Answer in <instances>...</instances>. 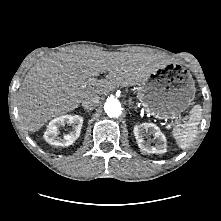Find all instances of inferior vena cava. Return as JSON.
Segmentation results:
<instances>
[{
    "label": "inferior vena cava",
    "instance_id": "1",
    "mask_svg": "<svg viewBox=\"0 0 221 221\" xmlns=\"http://www.w3.org/2000/svg\"><path fill=\"white\" fill-rule=\"evenodd\" d=\"M98 95H90L82 101V106L87 110L94 109L99 103Z\"/></svg>",
    "mask_w": 221,
    "mask_h": 221
}]
</instances>
